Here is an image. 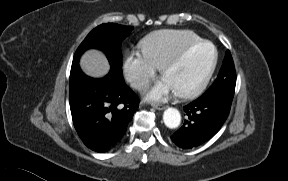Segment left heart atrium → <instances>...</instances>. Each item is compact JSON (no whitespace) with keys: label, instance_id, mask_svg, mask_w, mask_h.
<instances>
[{"label":"left heart atrium","instance_id":"39dd6f15","mask_svg":"<svg viewBox=\"0 0 288 181\" xmlns=\"http://www.w3.org/2000/svg\"><path fill=\"white\" fill-rule=\"evenodd\" d=\"M172 91V87L163 78L150 89L147 96L150 99L161 100Z\"/></svg>","mask_w":288,"mask_h":181}]
</instances>
